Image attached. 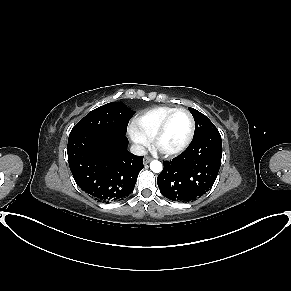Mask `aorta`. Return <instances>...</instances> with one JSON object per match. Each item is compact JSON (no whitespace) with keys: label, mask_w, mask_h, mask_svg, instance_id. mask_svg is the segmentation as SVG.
<instances>
[{"label":"aorta","mask_w":291,"mask_h":291,"mask_svg":"<svg viewBox=\"0 0 291 291\" xmlns=\"http://www.w3.org/2000/svg\"><path fill=\"white\" fill-rule=\"evenodd\" d=\"M150 169L154 172V173H160L163 169L162 163L158 160H153L150 163Z\"/></svg>","instance_id":"762f6f07"}]
</instances>
